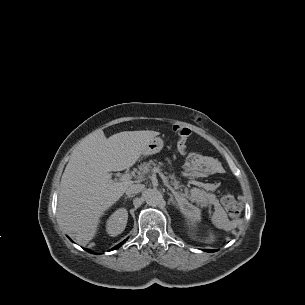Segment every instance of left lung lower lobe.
<instances>
[{"mask_svg":"<svg viewBox=\"0 0 305 305\" xmlns=\"http://www.w3.org/2000/svg\"><path fill=\"white\" fill-rule=\"evenodd\" d=\"M205 251H207V252H215L216 250L207 249Z\"/></svg>","mask_w":305,"mask_h":305,"instance_id":"left-lung-lower-lobe-1","label":"left lung lower lobe"}]
</instances>
